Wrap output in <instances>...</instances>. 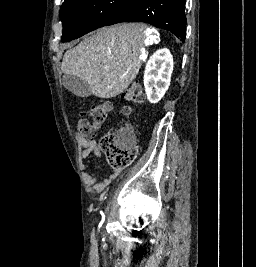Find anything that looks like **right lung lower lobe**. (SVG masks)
<instances>
[{
    "instance_id": "right-lung-lower-lobe-1",
    "label": "right lung lower lobe",
    "mask_w": 256,
    "mask_h": 267,
    "mask_svg": "<svg viewBox=\"0 0 256 267\" xmlns=\"http://www.w3.org/2000/svg\"><path fill=\"white\" fill-rule=\"evenodd\" d=\"M119 22H145L172 32L185 41V0H138L131 11L105 26Z\"/></svg>"
}]
</instances>
